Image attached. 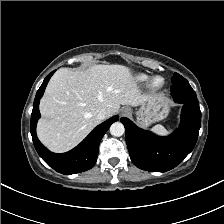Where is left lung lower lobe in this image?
<instances>
[{
	"mask_svg": "<svg viewBox=\"0 0 224 224\" xmlns=\"http://www.w3.org/2000/svg\"><path fill=\"white\" fill-rule=\"evenodd\" d=\"M174 101L184 104L180 127L167 137L138 128L121 118L126 130V143L132 162L140 169L166 172L179 165L193 150L201 126V111L196 93L184 79L171 86Z\"/></svg>",
	"mask_w": 224,
	"mask_h": 224,
	"instance_id": "0a47b994",
	"label": "left lung lower lobe"
}]
</instances>
